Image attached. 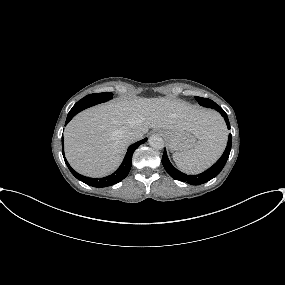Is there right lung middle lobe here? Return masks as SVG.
<instances>
[{
  "label": "right lung middle lobe",
  "instance_id": "dd1d6c3e",
  "mask_svg": "<svg viewBox=\"0 0 285 285\" xmlns=\"http://www.w3.org/2000/svg\"><path fill=\"white\" fill-rule=\"evenodd\" d=\"M113 97V93L111 92H103V93H98V94H90V95H87L86 97L82 98L80 101H78L74 106L73 108L70 110V112L68 114H73V115H76L78 112L90 107V106H93V105H96V104H99V103H102V102H105V101H108L110 99H112Z\"/></svg>",
  "mask_w": 285,
  "mask_h": 285
}]
</instances>
